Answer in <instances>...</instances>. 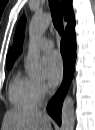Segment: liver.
Listing matches in <instances>:
<instances>
[{"mask_svg":"<svg viewBox=\"0 0 95 130\" xmlns=\"http://www.w3.org/2000/svg\"><path fill=\"white\" fill-rule=\"evenodd\" d=\"M2 130H52V125L40 110L13 108L5 113Z\"/></svg>","mask_w":95,"mask_h":130,"instance_id":"1","label":"liver"}]
</instances>
